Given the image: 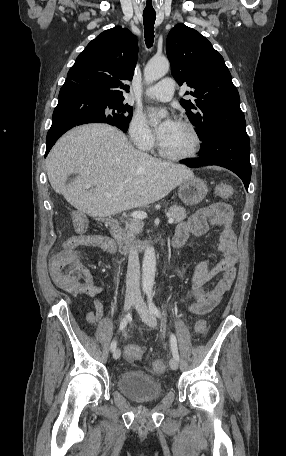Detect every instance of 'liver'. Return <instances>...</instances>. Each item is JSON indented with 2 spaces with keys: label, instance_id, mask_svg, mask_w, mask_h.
Masks as SVG:
<instances>
[{
  "label": "liver",
  "instance_id": "obj_1",
  "mask_svg": "<svg viewBox=\"0 0 286 456\" xmlns=\"http://www.w3.org/2000/svg\"><path fill=\"white\" fill-rule=\"evenodd\" d=\"M46 170L56 193L91 217H106L159 201L194 178L182 165L136 150L117 128L76 127L51 149ZM75 179L66 184L70 175ZM94 183L95 188L88 190Z\"/></svg>",
  "mask_w": 286,
  "mask_h": 456
}]
</instances>
